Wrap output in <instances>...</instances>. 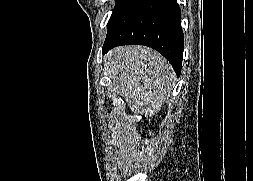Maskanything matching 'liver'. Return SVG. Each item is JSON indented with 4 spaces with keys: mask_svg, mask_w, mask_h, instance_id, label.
Listing matches in <instances>:
<instances>
[{
    "mask_svg": "<svg viewBox=\"0 0 253 181\" xmlns=\"http://www.w3.org/2000/svg\"><path fill=\"white\" fill-rule=\"evenodd\" d=\"M106 60L113 91L132 112L152 117L161 110L175 78L166 59L151 48L134 45L114 48Z\"/></svg>",
    "mask_w": 253,
    "mask_h": 181,
    "instance_id": "6515ba94",
    "label": "liver"
}]
</instances>
